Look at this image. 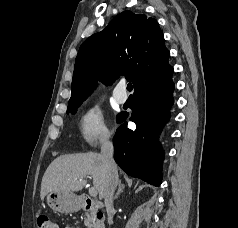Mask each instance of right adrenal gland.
Listing matches in <instances>:
<instances>
[{"label":"right adrenal gland","instance_id":"right-adrenal-gland-1","mask_svg":"<svg viewBox=\"0 0 238 228\" xmlns=\"http://www.w3.org/2000/svg\"><path fill=\"white\" fill-rule=\"evenodd\" d=\"M125 185L121 183V181H119L118 183V190L114 196V199H117L118 196L120 195V193H122L124 191Z\"/></svg>","mask_w":238,"mask_h":228}]
</instances>
